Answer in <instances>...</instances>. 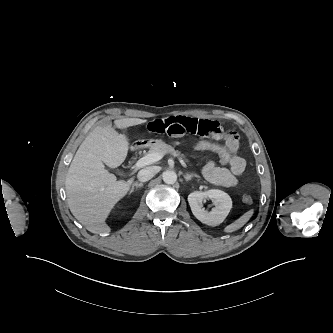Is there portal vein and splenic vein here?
Masks as SVG:
<instances>
[{
    "mask_svg": "<svg viewBox=\"0 0 333 333\" xmlns=\"http://www.w3.org/2000/svg\"><path fill=\"white\" fill-rule=\"evenodd\" d=\"M164 154L163 153H160V152H156V153H150V154H147L146 156L140 158L136 163H135V168L136 169H140L144 166H147V165H151V164H154L156 163L157 161L161 160L163 158ZM180 163L183 165V166H186L184 160L180 157H178Z\"/></svg>",
    "mask_w": 333,
    "mask_h": 333,
    "instance_id": "obj_1",
    "label": "portal vein and splenic vein"
}]
</instances>
